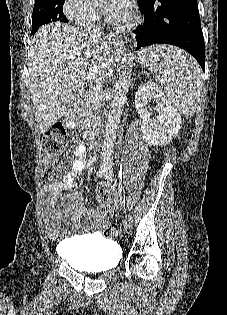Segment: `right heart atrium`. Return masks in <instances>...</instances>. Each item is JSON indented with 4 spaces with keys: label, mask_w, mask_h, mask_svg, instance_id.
Returning a JSON list of instances; mask_svg holds the SVG:
<instances>
[{
    "label": "right heart atrium",
    "mask_w": 227,
    "mask_h": 315,
    "mask_svg": "<svg viewBox=\"0 0 227 315\" xmlns=\"http://www.w3.org/2000/svg\"><path fill=\"white\" fill-rule=\"evenodd\" d=\"M63 12L71 22L82 27H92L100 20L99 11L90 0H64Z\"/></svg>",
    "instance_id": "1"
}]
</instances>
